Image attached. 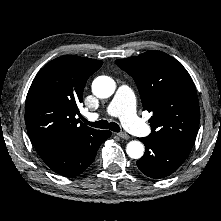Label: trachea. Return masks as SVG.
I'll list each match as a JSON object with an SVG mask.
<instances>
[{"label": "trachea", "instance_id": "trachea-1", "mask_svg": "<svg viewBox=\"0 0 221 221\" xmlns=\"http://www.w3.org/2000/svg\"><path fill=\"white\" fill-rule=\"evenodd\" d=\"M83 121H84V123H86L87 125H89L91 127L100 128V129L109 128L110 130H112L114 132H120V127L115 122H110L109 123L107 120H100V121H97V122H89L84 118H83Z\"/></svg>", "mask_w": 221, "mask_h": 221}]
</instances>
